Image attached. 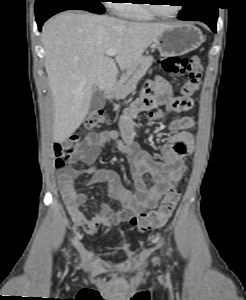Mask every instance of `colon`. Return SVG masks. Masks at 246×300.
Segmentation results:
<instances>
[{
    "mask_svg": "<svg viewBox=\"0 0 246 300\" xmlns=\"http://www.w3.org/2000/svg\"><path fill=\"white\" fill-rule=\"evenodd\" d=\"M161 67L167 75H185L187 80L181 86V93L189 96L198 91L203 74V65L198 56L179 57L170 56L162 59ZM164 117V112L155 110L151 112V120H159ZM106 117L102 109L92 111L85 120L84 126L87 129H94L102 126ZM80 139L78 136H71L69 139L57 143L54 146L55 165L63 167L65 161L78 153ZM180 178V181H183ZM180 199V191L177 185L171 186L165 193L158 208L149 212L134 215L130 222L140 231H148L162 226L172 215Z\"/></svg>",
    "mask_w": 246,
    "mask_h": 300,
    "instance_id": "obj_1",
    "label": "colon"
}]
</instances>
